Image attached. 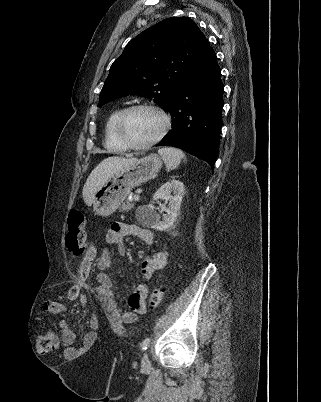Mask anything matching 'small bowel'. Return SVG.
<instances>
[{
    "label": "small bowel",
    "mask_w": 321,
    "mask_h": 402,
    "mask_svg": "<svg viewBox=\"0 0 321 402\" xmlns=\"http://www.w3.org/2000/svg\"><path fill=\"white\" fill-rule=\"evenodd\" d=\"M127 236H133L142 240L145 244L151 245L154 243V234L151 230L141 227L135 223H113L106 236V244L110 247H114L117 254L124 255L126 247L124 244V238ZM113 260L112 253L109 249H104L95 262V269L97 270L96 280L100 286H102L110 295H114V287L111 278L103 271L108 268ZM168 261V256L165 252H157L147 256L142 261L141 272L144 280L151 279L154 274L163 269ZM148 293L147 284L141 283L137 286L134 292L130 295L128 304L130 309H124L121 314V318L124 323L132 324L137 320L138 314L143 313L135 311L131 308L130 302L138 301L139 299H146ZM83 310L88 311L93 308L91 303L85 302L82 305ZM67 310L66 306L61 302L49 301L45 302L42 306V311L45 314H62ZM60 329L63 333L64 342V355L68 359L83 358L84 353L89 351V347H95L96 345V332L95 330H84L82 344L74 345L76 335L75 329L72 323L66 320H62L59 323ZM92 328L98 327L97 321L90 323Z\"/></svg>",
    "instance_id": "obj_1"
}]
</instances>
